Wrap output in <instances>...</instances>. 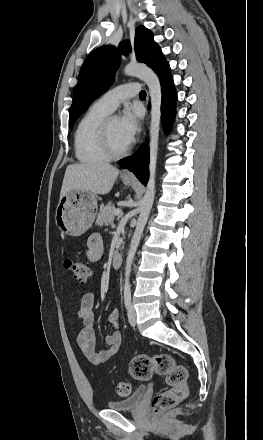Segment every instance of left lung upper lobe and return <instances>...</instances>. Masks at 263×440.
I'll list each match as a JSON object with an SVG mask.
<instances>
[{
    "mask_svg": "<svg viewBox=\"0 0 263 440\" xmlns=\"http://www.w3.org/2000/svg\"><path fill=\"white\" fill-rule=\"evenodd\" d=\"M134 48L136 59L154 71L167 63L160 47L153 40L152 32L144 26L137 27L135 31ZM129 49V43L123 42L119 49L102 46L89 54L80 70L74 90L69 117L70 129L89 104L109 88L118 66L120 52L127 54Z\"/></svg>",
    "mask_w": 263,
    "mask_h": 440,
    "instance_id": "1",
    "label": "left lung upper lobe"
}]
</instances>
